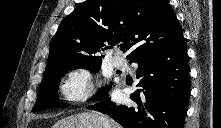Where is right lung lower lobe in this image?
Here are the masks:
<instances>
[{
  "label": "right lung lower lobe",
  "instance_id": "right-lung-lower-lobe-1",
  "mask_svg": "<svg viewBox=\"0 0 221 128\" xmlns=\"http://www.w3.org/2000/svg\"><path fill=\"white\" fill-rule=\"evenodd\" d=\"M188 54L184 38L177 44L140 55L141 90L131 95L133 104L116 105L108 93L89 108L109 115L124 128H183L190 96Z\"/></svg>",
  "mask_w": 221,
  "mask_h": 128
}]
</instances>
